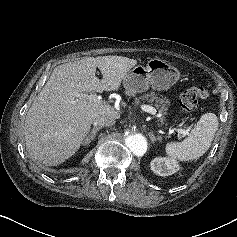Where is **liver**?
I'll return each instance as SVG.
<instances>
[{
  "mask_svg": "<svg viewBox=\"0 0 237 237\" xmlns=\"http://www.w3.org/2000/svg\"><path fill=\"white\" fill-rule=\"evenodd\" d=\"M137 60L109 55L57 66L25 118L26 149L36 160L56 166L83 144L99 116L119 118L108 104L90 101V92L115 91ZM99 68L103 78L95 76Z\"/></svg>",
  "mask_w": 237,
  "mask_h": 237,
  "instance_id": "obj_1",
  "label": "liver"
}]
</instances>
